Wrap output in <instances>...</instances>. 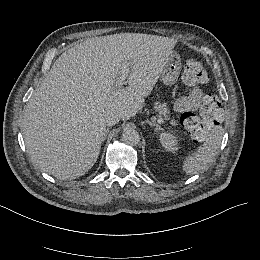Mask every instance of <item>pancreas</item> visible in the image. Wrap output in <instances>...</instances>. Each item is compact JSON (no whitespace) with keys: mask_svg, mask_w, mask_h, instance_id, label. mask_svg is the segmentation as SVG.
Here are the masks:
<instances>
[{"mask_svg":"<svg viewBox=\"0 0 260 260\" xmlns=\"http://www.w3.org/2000/svg\"><path fill=\"white\" fill-rule=\"evenodd\" d=\"M155 109L164 118V120H170V110L167 107V103L156 102ZM170 124L172 126H176V125H178V122L175 119H172V120H170Z\"/></svg>","mask_w":260,"mask_h":260,"instance_id":"1","label":"pancreas"}]
</instances>
